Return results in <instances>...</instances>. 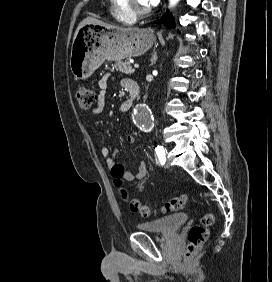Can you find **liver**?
<instances>
[{
  "label": "liver",
  "instance_id": "liver-1",
  "mask_svg": "<svg viewBox=\"0 0 272 282\" xmlns=\"http://www.w3.org/2000/svg\"><path fill=\"white\" fill-rule=\"evenodd\" d=\"M87 24H99V25H103V26L108 27V28L124 29V28H121V27L116 26V25H111V24L104 23V22H102V21H100V20H97V19H95V18H92V17H87V18H85L84 20H82L81 23L78 25V28H77V30H76V32H75V34H74L73 40L75 39V37H76V35H77V33H78V30H79L81 27H83V26H85V25H87Z\"/></svg>",
  "mask_w": 272,
  "mask_h": 282
}]
</instances>
